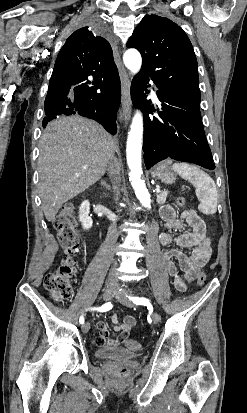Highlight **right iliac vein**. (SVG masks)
I'll return each mask as SVG.
<instances>
[{
  "label": "right iliac vein",
  "instance_id": "1",
  "mask_svg": "<svg viewBox=\"0 0 247 413\" xmlns=\"http://www.w3.org/2000/svg\"><path fill=\"white\" fill-rule=\"evenodd\" d=\"M116 291V286H114L113 284H107L106 288L104 290V294L102 296L104 301H109L112 298L113 293ZM90 329V323L86 322L83 326H82V332L83 333H87Z\"/></svg>",
  "mask_w": 247,
  "mask_h": 413
}]
</instances>
